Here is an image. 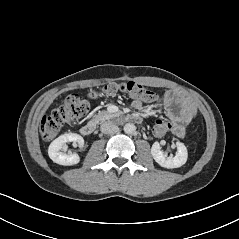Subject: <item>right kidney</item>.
<instances>
[{"instance_id":"right-kidney-1","label":"right kidney","mask_w":239,"mask_h":239,"mask_svg":"<svg viewBox=\"0 0 239 239\" xmlns=\"http://www.w3.org/2000/svg\"><path fill=\"white\" fill-rule=\"evenodd\" d=\"M73 142L74 146H83L84 139L82 136L75 133H65L56 138L48 148L50 159L60 165L70 166L79 163L80 157L76 153H64L62 150L67 149L66 143Z\"/></svg>"}]
</instances>
